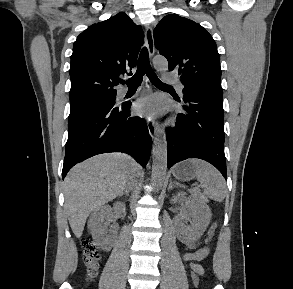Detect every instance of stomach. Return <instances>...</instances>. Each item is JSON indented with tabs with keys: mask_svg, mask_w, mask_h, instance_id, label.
<instances>
[{
	"mask_svg": "<svg viewBox=\"0 0 293 289\" xmlns=\"http://www.w3.org/2000/svg\"><path fill=\"white\" fill-rule=\"evenodd\" d=\"M173 175L176 179L189 181L196 176V170L191 160L178 163L173 169Z\"/></svg>",
	"mask_w": 293,
	"mask_h": 289,
	"instance_id": "0dacf381",
	"label": "stomach"
}]
</instances>
